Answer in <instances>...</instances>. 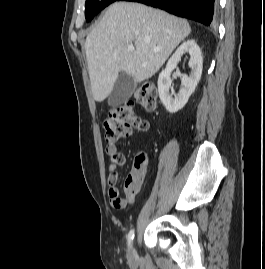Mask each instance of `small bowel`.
Returning <instances> with one entry per match:
<instances>
[{
  "instance_id": "1",
  "label": "small bowel",
  "mask_w": 265,
  "mask_h": 269,
  "mask_svg": "<svg viewBox=\"0 0 265 269\" xmlns=\"http://www.w3.org/2000/svg\"><path fill=\"white\" fill-rule=\"evenodd\" d=\"M144 120V119H143ZM145 128L140 131H147L149 124L146 120ZM106 153L110 157V164L108 167V197L110 205L119 210H124L127 206L135 202L136 196L141 190L143 184L145 169H146V157L144 154H139L135 158L134 166L124 182L125 195L120 196L119 189L117 188L118 173L117 168L125 164V157L117 149L115 143H108L106 145Z\"/></svg>"
}]
</instances>
